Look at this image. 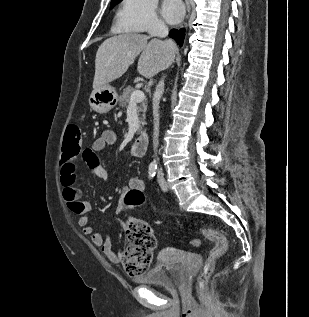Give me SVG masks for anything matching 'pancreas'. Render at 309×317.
<instances>
[{"instance_id":"1","label":"pancreas","mask_w":309,"mask_h":317,"mask_svg":"<svg viewBox=\"0 0 309 317\" xmlns=\"http://www.w3.org/2000/svg\"><path fill=\"white\" fill-rule=\"evenodd\" d=\"M134 89L131 86H128L124 89L123 93L119 97V105L122 108H127L130 102L131 94L133 93ZM147 109V102L143 101L141 104L137 106V112L138 115L142 113L141 116H139V129L138 132L141 130V125L143 126L145 124V112Z\"/></svg>"}]
</instances>
